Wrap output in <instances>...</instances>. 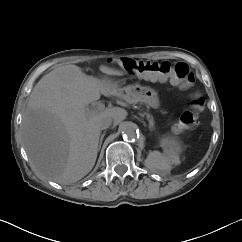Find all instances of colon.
I'll return each instance as SVG.
<instances>
[{
	"instance_id": "obj_1",
	"label": "colon",
	"mask_w": 242,
	"mask_h": 242,
	"mask_svg": "<svg viewBox=\"0 0 242 242\" xmlns=\"http://www.w3.org/2000/svg\"><path fill=\"white\" fill-rule=\"evenodd\" d=\"M112 62L129 73L143 76L152 81L169 80L183 90L192 88L195 82L194 75L183 62H157L149 60H135L131 58H117ZM204 101L199 96L191 99V107L185 110L174 125L175 131H184L198 124L199 113L203 109Z\"/></svg>"
}]
</instances>
